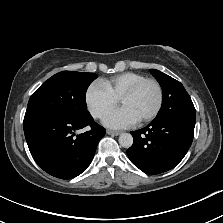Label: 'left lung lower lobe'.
Returning a JSON list of instances; mask_svg holds the SVG:
<instances>
[{
	"instance_id": "0a47b994",
	"label": "left lung lower lobe",
	"mask_w": 223,
	"mask_h": 223,
	"mask_svg": "<svg viewBox=\"0 0 223 223\" xmlns=\"http://www.w3.org/2000/svg\"><path fill=\"white\" fill-rule=\"evenodd\" d=\"M195 121L184 118L153 120L145 128L131 131L134 142L127 150L129 159L151 175L174 168L191 146Z\"/></svg>"
}]
</instances>
